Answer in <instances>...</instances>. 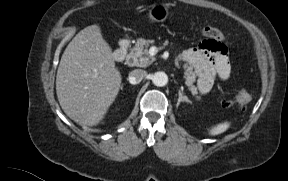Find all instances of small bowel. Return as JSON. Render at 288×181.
Returning <instances> with one entry per match:
<instances>
[{"mask_svg":"<svg viewBox=\"0 0 288 181\" xmlns=\"http://www.w3.org/2000/svg\"><path fill=\"white\" fill-rule=\"evenodd\" d=\"M189 57L196 66L199 86L203 90L212 88L215 74L222 79L229 76L230 65L227 56L222 51L212 49L208 43L205 46L190 50Z\"/></svg>","mask_w":288,"mask_h":181,"instance_id":"1","label":"small bowel"}]
</instances>
